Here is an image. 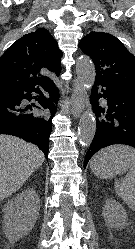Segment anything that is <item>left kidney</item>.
I'll use <instances>...</instances> for the list:
<instances>
[{"instance_id": "obj_1", "label": "left kidney", "mask_w": 135, "mask_h": 249, "mask_svg": "<svg viewBox=\"0 0 135 249\" xmlns=\"http://www.w3.org/2000/svg\"><path fill=\"white\" fill-rule=\"evenodd\" d=\"M103 217L111 228H123L127 225V214L121 204L114 199L106 200L103 206Z\"/></svg>"}]
</instances>
